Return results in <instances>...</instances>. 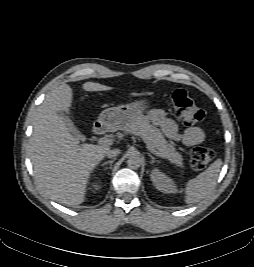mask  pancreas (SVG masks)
Listing matches in <instances>:
<instances>
[{
    "label": "pancreas",
    "mask_w": 254,
    "mask_h": 267,
    "mask_svg": "<svg viewBox=\"0 0 254 267\" xmlns=\"http://www.w3.org/2000/svg\"><path fill=\"white\" fill-rule=\"evenodd\" d=\"M125 132L141 137L146 144L156 149L158 156L169 160L177 167H184L182 155L176 152L174 146L166 141L158 128L152 126L143 118L125 129Z\"/></svg>",
    "instance_id": "obj_1"
}]
</instances>
